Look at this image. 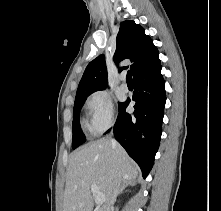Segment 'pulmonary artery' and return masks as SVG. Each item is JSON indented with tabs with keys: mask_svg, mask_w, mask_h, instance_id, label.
I'll return each mask as SVG.
<instances>
[{
	"mask_svg": "<svg viewBox=\"0 0 221 211\" xmlns=\"http://www.w3.org/2000/svg\"><path fill=\"white\" fill-rule=\"evenodd\" d=\"M121 81H122L121 85H120L121 90L124 91V92H127L129 89H128V85L125 81V75H122Z\"/></svg>",
	"mask_w": 221,
	"mask_h": 211,
	"instance_id": "obj_1",
	"label": "pulmonary artery"
}]
</instances>
